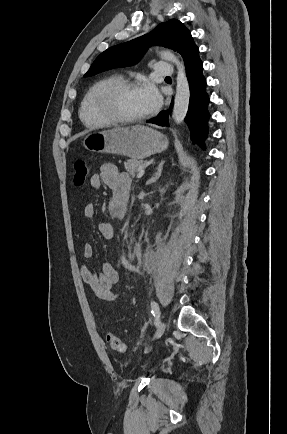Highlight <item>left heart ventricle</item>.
<instances>
[{"mask_svg":"<svg viewBox=\"0 0 287 434\" xmlns=\"http://www.w3.org/2000/svg\"><path fill=\"white\" fill-rule=\"evenodd\" d=\"M116 112L123 117H138L147 113L139 87L119 92L114 99Z\"/></svg>","mask_w":287,"mask_h":434,"instance_id":"1","label":"left heart ventricle"}]
</instances>
